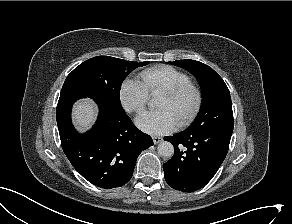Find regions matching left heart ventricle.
I'll return each mask as SVG.
<instances>
[{"label": "left heart ventricle", "instance_id": "b2bd125f", "mask_svg": "<svg viewBox=\"0 0 292 224\" xmlns=\"http://www.w3.org/2000/svg\"><path fill=\"white\" fill-rule=\"evenodd\" d=\"M194 103V94L187 92L176 99H170L159 95L155 104L157 109L167 110L176 123H178L192 108Z\"/></svg>", "mask_w": 292, "mask_h": 224}]
</instances>
